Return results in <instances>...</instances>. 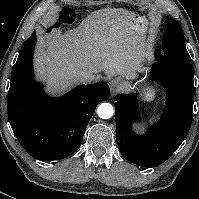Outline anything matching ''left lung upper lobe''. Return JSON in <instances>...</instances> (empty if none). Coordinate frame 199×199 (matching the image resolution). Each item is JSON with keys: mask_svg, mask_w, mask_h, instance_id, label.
<instances>
[{"mask_svg": "<svg viewBox=\"0 0 199 199\" xmlns=\"http://www.w3.org/2000/svg\"><path fill=\"white\" fill-rule=\"evenodd\" d=\"M167 20L169 22V28L165 32L162 42L164 53L161 54V52L158 51L157 59L170 60L193 69L192 60L186 50L181 26L172 18L167 17Z\"/></svg>", "mask_w": 199, "mask_h": 199, "instance_id": "5c2ea615", "label": "left lung upper lobe"}]
</instances>
